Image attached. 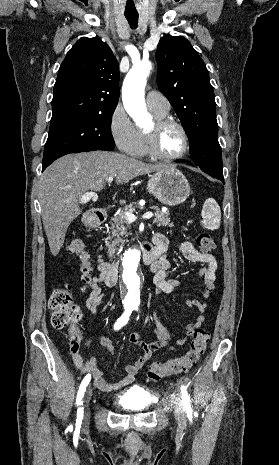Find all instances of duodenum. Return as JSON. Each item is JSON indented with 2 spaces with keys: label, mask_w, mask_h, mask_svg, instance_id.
Wrapping results in <instances>:
<instances>
[{
  "label": "duodenum",
  "mask_w": 279,
  "mask_h": 465,
  "mask_svg": "<svg viewBox=\"0 0 279 465\" xmlns=\"http://www.w3.org/2000/svg\"><path fill=\"white\" fill-rule=\"evenodd\" d=\"M107 219L106 211H95L85 218V225L87 227L93 228L97 227ZM143 253V261L145 264H152L158 257V251L151 243H143L141 246ZM118 280V270L117 264L110 265L106 273V284L110 287L115 286Z\"/></svg>",
  "instance_id": "410a0bca"
}]
</instances>
